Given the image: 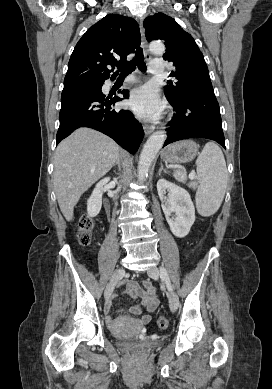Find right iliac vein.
I'll return each mask as SVG.
<instances>
[{"instance_id": "obj_1", "label": "right iliac vein", "mask_w": 272, "mask_h": 389, "mask_svg": "<svg viewBox=\"0 0 272 389\" xmlns=\"http://www.w3.org/2000/svg\"><path fill=\"white\" fill-rule=\"evenodd\" d=\"M125 275V269L119 268L114 275L112 276L110 282L108 283L106 290H105V299L108 300L110 298V295L112 294V291L114 289L115 284Z\"/></svg>"}]
</instances>
